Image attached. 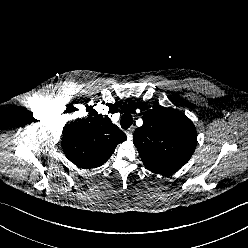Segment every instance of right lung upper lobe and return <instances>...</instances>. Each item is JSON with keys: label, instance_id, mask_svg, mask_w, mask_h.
<instances>
[{"label": "right lung upper lobe", "instance_id": "cb5924a9", "mask_svg": "<svg viewBox=\"0 0 248 248\" xmlns=\"http://www.w3.org/2000/svg\"><path fill=\"white\" fill-rule=\"evenodd\" d=\"M64 127L62 147L66 157L80 168L90 169L103 165L115 147L126 140V135L108 116L93 114ZM93 114V115H92Z\"/></svg>", "mask_w": 248, "mask_h": 248}]
</instances>
